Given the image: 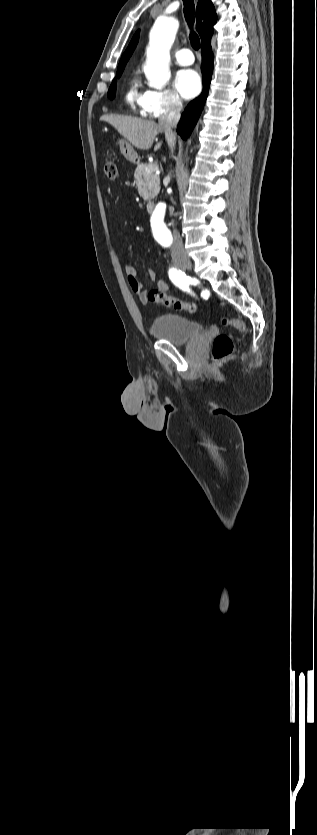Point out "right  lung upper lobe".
I'll use <instances>...</instances> for the list:
<instances>
[{
    "label": "right lung upper lobe",
    "mask_w": 317,
    "mask_h": 835,
    "mask_svg": "<svg viewBox=\"0 0 317 835\" xmlns=\"http://www.w3.org/2000/svg\"><path fill=\"white\" fill-rule=\"evenodd\" d=\"M216 21L217 15L215 13V9L211 0H199L196 9V28L201 37L202 42H204L212 36L214 32L213 26L215 25ZM138 40L139 31L135 33L128 48L122 55L121 60L119 62V66L126 65L127 61L129 60L138 43Z\"/></svg>",
    "instance_id": "right-lung-upper-lobe-1"
}]
</instances>
